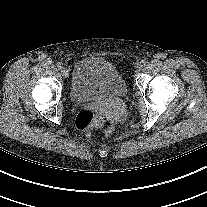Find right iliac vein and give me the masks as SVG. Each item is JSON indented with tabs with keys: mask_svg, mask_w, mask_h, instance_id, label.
<instances>
[{
	"mask_svg": "<svg viewBox=\"0 0 207 207\" xmlns=\"http://www.w3.org/2000/svg\"><path fill=\"white\" fill-rule=\"evenodd\" d=\"M61 74H62V76H63L64 78L68 77V74H69L68 69H67V68H63V69L61 70Z\"/></svg>",
	"mask_w": 207,
	"mask_h": 207,
	"instance_id": "63e3f726",
	"label": "right iliac vein"
}]
</instances>
